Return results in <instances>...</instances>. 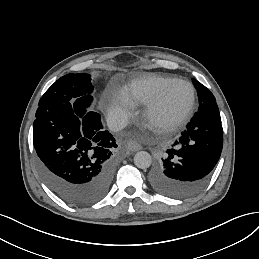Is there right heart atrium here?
Listing matches in <instances>:
<instances>
[{
  "mask_svg": "<svg viewBox=\"0 0 259 259\" xmlns=\"http://www.w3.org/2000/svg\"><path fill=\"white\" fill-rule=\"evenodd\" d=\"M101 111L115 125H125L137 114L138 106L125 92L109 90L103 95Z\"/></svg>",
  "mask_w": 259,
  "mask_h": 259,
  "instance_id": "obj_1",
  "label": "right heart atrium"
}]
</instances>
